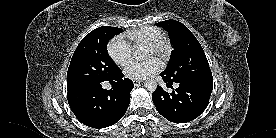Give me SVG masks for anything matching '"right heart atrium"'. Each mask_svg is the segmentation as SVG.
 I'll return each mask as SVG.
<instances>
[{"mask_svg": "<svg viewBox=\"0 0 276 138\" xmlns=\"http://www.w3.org/2000/svg\"><path fill=\"white\" fill-rule=\"evenodd\" d=\"M107 51L118 65H125L131 58V46L123 36L114 37L108 44Z\"/></svg>", "mask_w": 276, "mask_h": 138, "instance_id": "1", "label": "right heart atrium"}]
</instances>
